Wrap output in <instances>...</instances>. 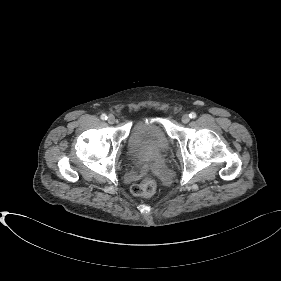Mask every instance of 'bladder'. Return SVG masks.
<instances>
[{
    "label": "bladder",
    "mask_w": 281,
    "mask_h": 281,
    "mask_svg": "<svg viewBox=\"0 0 281 281\" xmlns=\"http://www.w3.org/2000/svg\"><path fill=\"white\" fill-rule=\"evenodd\" d=\"M170 143L160 123L151 118L136 120L130 130L127 155L135 165L152 164L169 151Z\"/></svg>",
    "instance_id": "1"
}]
</instances>
